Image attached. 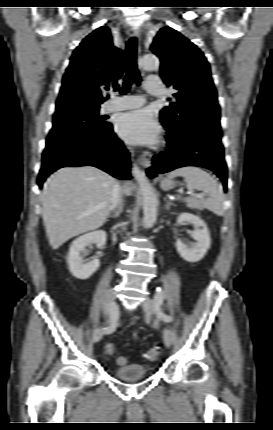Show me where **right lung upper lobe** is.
<instances>
[{
	"label": "right lung upper lobe",
	"instance_id": "right-lung-upper-lobe-1",
	"mask_svg": "<svg viewBox=\"0 0 273 430\" xmlns=\"http://www.w3.org/2000/svg\"><path fill=\"white\" fill-rule=\"evenodd\" d=\"M70 60L56 107L72 100L100 105L105 91L118 88L123 52L113 46L109 28L102 26L84 38Z\"/></svg>",
	"mask_w": 273,
	"mask_h": 430
}]
</instances>
